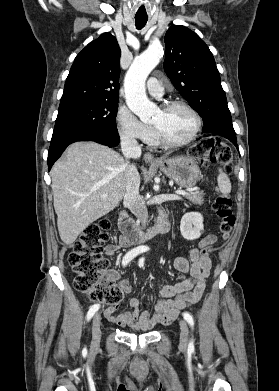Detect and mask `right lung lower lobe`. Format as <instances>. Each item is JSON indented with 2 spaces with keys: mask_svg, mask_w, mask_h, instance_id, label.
<instances>
[{
  "mask_svg": "<svg viewBox=\"0 0 279 391\" xmlns=\"http://www.w3.org/2000/svg\"><path fill=\"white\" fill-rule=\"evenodd\" d=\"M75 141H95L113 147L119 143L116 127L103 126L88 128L69 135L52 138L48 151V167L51 169L54 162L61 156L66 147Z\"/></svg>",
  "mask_w": 279,
  "mask_h": 391,
  "instance_id": "right-lung-lower-lobe-1",
  "label": "right lung lower lobe"
}]
</instances>
